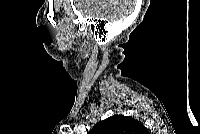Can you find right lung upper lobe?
<instances>
[{
  "label": "right lung upper lobe",
  "mask_w": 200,
  "mask_h": 134,
  "mask_svg": "<svg viewBox=\"0 0 200 134\" xmlns=\"http://www.w3.org/2000/svg\"><path fill=\"white\" fill-rule=\"evenodd\" d=\"M139 121L122 115H114L98 122L88 134H147Z\"/></svg>",
  "instance_id": "cb5924a9"
}]
</instances>
